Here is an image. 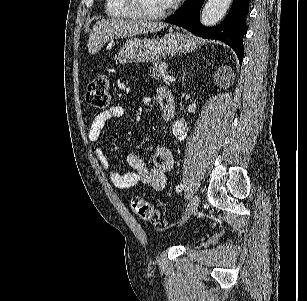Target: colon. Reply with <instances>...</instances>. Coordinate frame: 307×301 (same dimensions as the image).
<instances>
[{
	"label": "colon",
	"instance_id": "1",
	"mask_svg": "<svg viewBox=\"0 0 307 301\" xmlns=\"http://www.w3.org/2000/svg\"><path fill=\"white\" fill-rule=\"evenodd\" d=\"M86 100L94 108L104 109L109 105L110 93L108 80L98 76L91 80L86 90ZM134 213L142 220L161 224L160 212L148 201L141 197H134L131 202Z\"/></svg>",
	"mask_w": 307,
	"mask_h": 301
}]
</instances>
